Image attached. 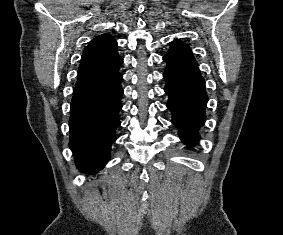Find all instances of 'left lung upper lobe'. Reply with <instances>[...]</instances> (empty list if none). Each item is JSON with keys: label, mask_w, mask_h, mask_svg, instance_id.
I'll return each mask as SVG.
<instances>
[{"label": "left lung upper lobe", "mask_w": 283, "mask_h": 235, "mask_svg": "<svg viewBox=\"0 0 283 235\" xmlns=\"http://www.w3.org/2000/svg\"><path fill=\"white\" fill-rule=\"evenodd\" d=\"M163 59L167 62L197 66V62L193 57L191 49L178 39L173 41L172 46Z\"/></svg>", "instance_id": "1"}]
</instances>
